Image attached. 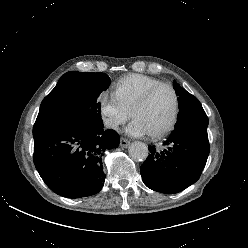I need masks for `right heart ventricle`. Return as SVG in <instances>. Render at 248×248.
<instances>
[{
  "label": "right heart ventricle",
  "mask_w": 248,
  "mask_h": 248,
  "mask_svg": "<svg viewBox=\"0 0 248 248\" xmlns=\"http://www.w3.org/2000/svg\"><path fill=\"white\" fill-rule=\"evenodd\" d=\"M162 83L160 80L142 74H130L121 78L113 94L120 104L130 112L133 105L151 87Z\"/></svg>",
  "instance_id": "right-heart-ventricle-1"
}]
</instances>
